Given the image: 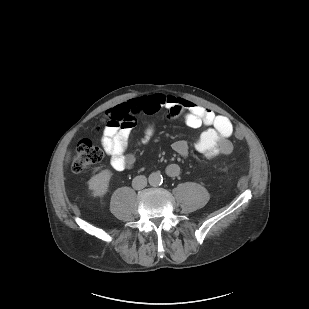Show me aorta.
Listing matches in <instances>:
<instances>
[{
    "label": "aorta",
    "instance_id": "obj_1",
    "mask_svg": "<svg viewBox=\"0 0 309 309\" xmlns=\"http://www.w3.org/2000/svg\"><path fill=\"white\" fill-rule=\"evenodd\" d=\"M148 181L151 186H158L162 184L163 177L160 172H152L149 175Z\"/></svg>",
    "mask_w": 309,
    "mask_h": 309
}]
</instances>
